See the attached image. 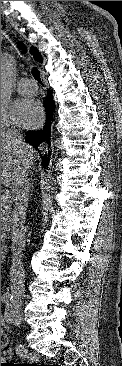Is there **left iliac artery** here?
<instances>
[{
    "mask_svg": "<svg viewBox=\"0 0 122 366\" xmlns=\"http://www.w3.org/2000/svg\"><path fill=\"white\" fill-rule=\"evenodd\" d=\"M12 314H13V307L11 304H7L6 312H5V319L7 322H12V320H11Z\"/></svg>",
    "mask_w": 122,
    "mask_h": 366,
    "instance_id": "1",
    "label": "left iliac artery"
}]
</instances>
